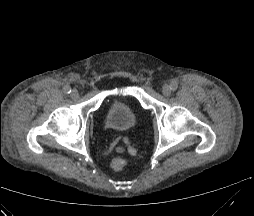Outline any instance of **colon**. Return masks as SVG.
Listing matches in <instances>:
<instances>
[{
	"instance_id": "obj_1",
	"label": "colon",
	"mask_w": 254,
	"mask_h": 216,
	"mask_svg": "<svg viewBox=\"0 0 254 216\" xmlns=\"http://www.w3.org/2000/svg\"><path fill=\"white\" fill-rule=\"evenodd\" d=\"M125 166V160L122 157H116L111 162V168L116 171H122Z\"/></svg>"
}]
</instances>
